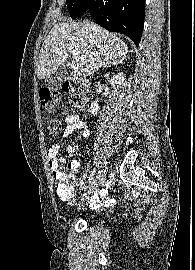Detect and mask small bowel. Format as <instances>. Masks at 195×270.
<instances>
[{"label":"small bowel","instance_id":"obj_1","mask_svg":"<svg viewBox=\"0 0 195 270\" xmlns=\"http://www.w3.org/2000/svg\"><path fill=\"white\" fill-rule=\"evenodd\" d=\"M64 122L66 124L64 134H63L64 137H68L75 132H79L82 138L89 137L90 132L82 116L78 114H73V113L67 114L64 118ZM58 152H59V147L57 144L52 145L47 151L49 166L53 173V176L55 172L58 170ZM69 166L72 172H76L80 167V163L77 160H73L69 163ZM74 195H75V190L73 188L70 190V192L66 194H61L58 192V196L60 197L61 200L71 201L72 203H74V200H73ZM114 202L115 200L113 198H106L104 200V203L107 205H112L114 204ZM101 204H102L101 194L99 192H96L91 199V206L98 207Z\"/></svg>","mask_w":195,"mask_h":270}]
</instances>
